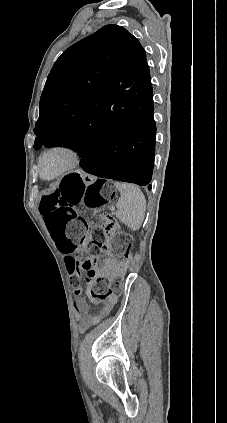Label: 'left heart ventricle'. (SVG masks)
<instances>
[{
	"label": "left heart ventricle",
	"mask_w": 227,
	"mask_h": 423,
	"mask_svg": "<svg viewBox=\"0 0 227 423\" xmlns=\"http://www.w3.org/2000/svg\"><path fill=\"white\" fill-rule=\"evenodd\" d=\"M66 162L62 153H52L44 161L43 172L46 177H51L61 170Z\"/></svg>",
	"instance_id": "1"
}]
</instances>
